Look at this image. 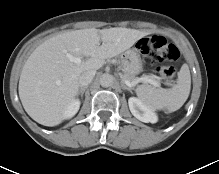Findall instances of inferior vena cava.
Returning <instances> with one entry per match:
<instances>
[{
	"label": "inferior vena cava",
	"instance_id": "inferior-vena-cava-1",
	"mask_svg": "<svg viewBox=\"0 0 219 174\" xmlns=\"http://www.w3.org/2000/svg\"><path fill=\"white\" fill-rule=\"evenodd\" d=\"M95 71L94 70H90V71H86L84 73L81 74L80 78H79V84L80 86H87L88 84H90L95 76Z\"/></svg>",
	"mask_w": 219,
	"mask_h": 174
}]
</instances>
